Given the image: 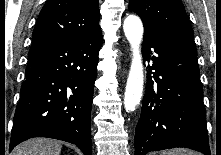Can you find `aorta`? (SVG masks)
I'll list each match as a JSON object with an SVG mask.
<instances>
[{"label":"aorta","instance_id":"aorta-1","mask_svg":"<svg viewBox=\"0 0 221 155\" xmlns=\"http://www.w3.org/2000/svg\"><path fill=\"white\" fill-rule=\"evenodd\" d=\"M127 40L131 45L132 61L124 94V107L127 112L134 111L140 103L143 91V64L140 43L143 37V24L135 15H129L123 24Z\"/></svg>","mask_w":221,"mask_h":155}]
</instances>
